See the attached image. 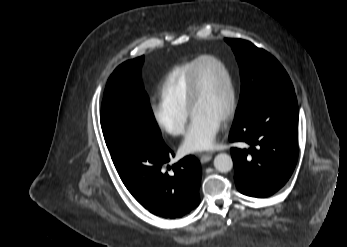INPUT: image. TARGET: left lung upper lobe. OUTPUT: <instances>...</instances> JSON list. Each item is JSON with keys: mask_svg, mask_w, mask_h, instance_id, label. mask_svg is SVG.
Segmentation results:
<instances>
[{"mask_svg": "<svg viewBox=\"0 0 347 247\" xmlns=\"http://www.w3.org/2000/svg\"><path fill=\"white\" fill-rule=\"evenodd\" d=\"M225 41L236 55L241 76V94L234 122L272 94L294 93L287 72L271 54L249 41L228 38Z\"/></svg>", "mask_w": 347, "mask_h": 247, "instance_id": "left-lung-upper-lobe-1", "label": "left lung upper lobe"}]
</instances>
